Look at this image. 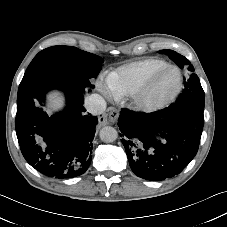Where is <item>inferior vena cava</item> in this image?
<instances>
[{
  "instance_id": "1",
  "label": "inferior vena cava",
  "mask_w": 227,
  "mask_h": 227,
  "mask_svg": "<svg viewBox=\"0 0 227 227\" xmlns=\"http://www.w3.org/2000/svg\"><path fill=\"white\" fill-rule=\"evenodd\" d=\"M85 108L93 115H100L106 110V102L99 94H92L85 99Z\"/></svg>"
}]
</instances>
